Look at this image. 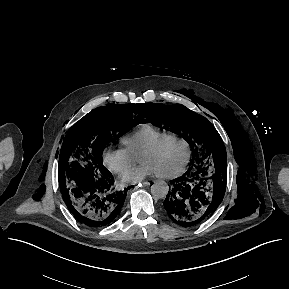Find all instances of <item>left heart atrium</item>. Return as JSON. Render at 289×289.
Masks as SVG:
<instances>
[{
	"mask_svg": "<svg viewBox=\"0 0 289 289\" xmlns=\"http://www.w3.org/2000/svg\"><path fill=\"white\" fill-rule=\"evenodd\" d=\"M157 174L155 169L148 163H140L122 175L120 182L123 185L135 184L150 175Z\"/></svg>",
	"mask_w": 289,
	"mask_h": 289,
	"instance_id": "obj_1",
	"label": "left heart atrium"
}]
</instances>
